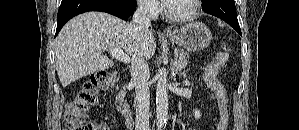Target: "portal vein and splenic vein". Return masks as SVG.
<instances>
[{
  "instance_id": "1",
  "label": "portal vein and splenic vein",
  "mask_w": 299,
  "mask_h": 130,
  "mask_svg": "<svg viewBox=\"0 0 299 130\" xmlns=\"http://www.w3.org/2000/svg\"><path fill=\"white\" fill-rule=\"evenodd\" d=\"M110 54L114 58H116L117 60H119L121 62L128 63V62L131 61L130 57L127 54H125L122 49H111L110 50ZM176 67H177V70H181L182 69L181 65L177 64V63H176Z\"/></svg>"
}]
</instances>
